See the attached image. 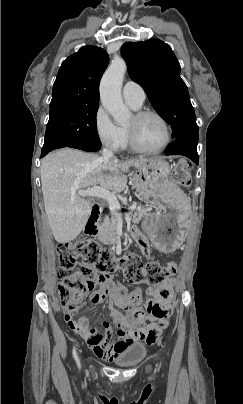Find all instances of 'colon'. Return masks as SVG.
<instances>
[{
	"mask_svg": "<svg viewBox=\"0 0 243 404\" xmlns=\"http://www.w3.org/2000/svg\"><path fill=\"white\" fill-rule=\"evenodd\" d=\"M174 180L188 187L191 177L188 167L180 162L173 172ZM60 261L61 282L59 297L69 311L76 309V303L91 290L99 279L115 271H120L130 283L161 284L176 272L174 263L162 266L156 261L144 263L138 255L130 254L115 258L113 254L90 239L59 243L56 247ZM140 302L136 292L126 296L123 307L131 309Z\"/></svg>",
	"mask_w": 243,
	"mask_h": 404,
	"instance_id": "5ec220e1",
	"label": "colon"
}]
</instances>
